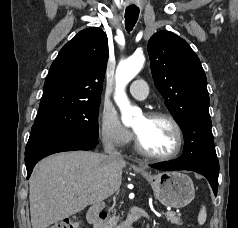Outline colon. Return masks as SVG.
<instances>
[{
	"mask_svg": "<svg viewBox=\"0 0 238 228\" xmlns=\"http://www.w3.org/2000/svg\"><path fill=\"white\" fill-rule=\"evenodd\" d=\"M81 224L80 221L76 217L65 218L59 220L47 228H80Z\"/></svg>",
	"mask_w": 238,
	"mask_h": 228,
	"instance_id": "5ec220e1",
	"label": "colon"
}]
</instances>
